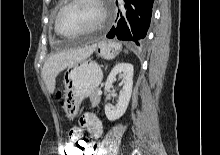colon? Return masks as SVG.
Listing matches in <instances>:
<instances>
[{"instance_id": "colon-1", "label": "colon", "mask_w": 220, "mask_h": 155, "mask_svg": "<svg viewBox=\"0 0 220 155\" xmlns=\"http://www.w3.org/2000/svg\"><path fill=\"white\" fill-rule=\"evenodd\" d=\"M91 147L92 142H88V139H67L64 155H89Z\"/></svg>"}]
</instances>
